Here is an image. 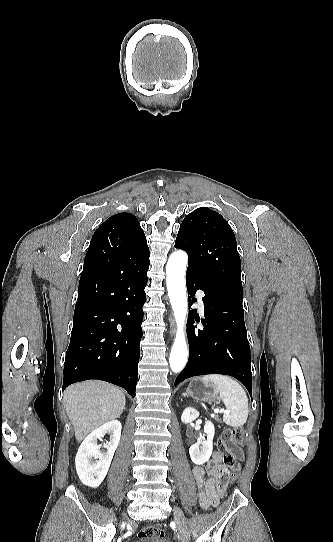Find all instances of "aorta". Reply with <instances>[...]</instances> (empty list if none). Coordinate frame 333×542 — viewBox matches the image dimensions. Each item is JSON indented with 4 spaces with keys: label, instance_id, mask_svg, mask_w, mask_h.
<instances>
[{
    "label": "aorta",
    "instance_id": "aorta-1",
    "mask_svg": "<svg viewBox=\"0 0 333 542\" xmlns=\"http://www.w3.org/2000/svg\"><path fill=\"white\" fill-rule=\"evenodd\" d=\"M187 264L188 256L186 252L177 250V252L171 254L166 266L168 296L177 328L169 358L170 368L174 374L182 372L188 360V348L185 336L188 306L184 280Z\"/></svg>",
    "mask_w": 333,
    "mask_h": 542
}]
</instances>
